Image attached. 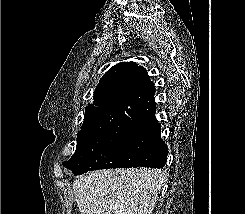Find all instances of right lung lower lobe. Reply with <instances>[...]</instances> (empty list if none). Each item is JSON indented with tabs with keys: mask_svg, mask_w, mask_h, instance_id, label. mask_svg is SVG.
<instances>
[{
	"mask_svg": "<svg viewBox=\"0 0 245 214\" xmlns=\"http://www.w3.org/2000/svg\"><path fill=\"white\" fill-rule=\"evenodd\" d=\"M139 108V120L133 127L127 128L128 137L117 147L120 162L116 168H163L167 160L168 147L160 138V124L154 116V95L143 98Z\"/></svg>",
	"mask_w": 245,
	"mask_h": 214,
	"instance_id": "obj_1",
	"label": "right lung lower lobe"
}]
</instances>
